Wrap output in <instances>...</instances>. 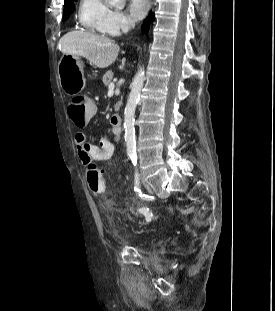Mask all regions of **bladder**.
Segmentation results:
<instances>
[{
    "instance_id": "bladder-1",
    "label": "bladder",
    "mask_w": 275,
    "mask_h": 311,
    "mask_svg": "<svg viewBox=\"0 0 275 311\" xmlns=\"http://www.w3.org/2000/svg\"><path fill=\"white\" fill-rule=\"evenodd\" d=\"M118 230L121 233L122 237H124V238L128 237V234L123 230V228L119 227Z\"/></svg>"
}]
</instances>
